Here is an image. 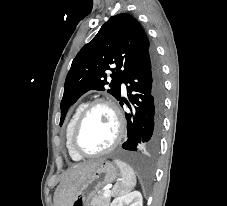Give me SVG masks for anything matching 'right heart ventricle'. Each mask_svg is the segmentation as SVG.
Masks as SVG:
<instances>
[{
	"mask_svg": "<svg viewBox=\"0 0 227 206\" xmlns=\"http://www.w3.org/2000/svg\"><path fill=\"white\" fill-rule=\"evenodd\" d=\"M86 106V103L85 102H82V103H79L75 109L73 110L70 118H69V121L67 123V126H66V147H67V150L69 152V155L71 156L72 159L78 161V160H81L82 157L79 156L78 154H76L72 148H71V144H70V139H71V133H72V129L75 125V122L79 116V114L81 113V111L83 110V108Z\"/></svg>",
	"mask_w": 227,
	"mask_h": 206,
	"instance_id": "1",
	"label": "right heart ventricle"
}]
</instances>
